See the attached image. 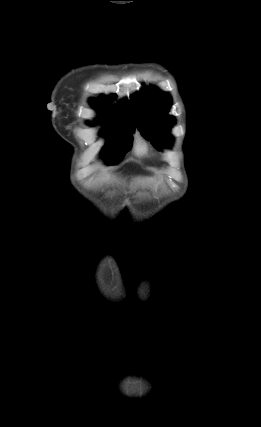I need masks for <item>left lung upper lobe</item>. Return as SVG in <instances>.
Here are the masks:
<instances>
[{
	"label": "left lung upper lobe",
	"instance_id": "5c2ea615",
	"mask_svg": "<svg viewBox=\"0 0 261 427\" xmlns=\"http://www.w3.org/2000/svg\"><path fill=\"white\" fill-rule=\"evenodd\" d=\"M171 98L156 88H144L131 97L130 106L136 127L158 150L170 146L174 139L169 134L175 123L167 114Z\"/></svg>",
	"mask_w": 261,
	"mask_h": 427
}]
</instances>
